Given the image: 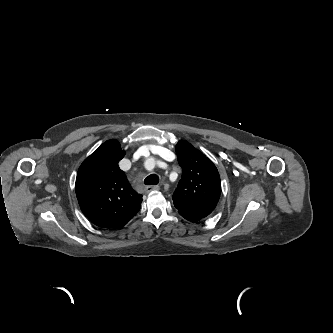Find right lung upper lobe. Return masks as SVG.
Masks as SVG:
<instances>
[{
	"label": "right lung upper lobe",
	"mask_w": 333,
	"mask_h": 333,
	"mask_svg": "<svg viewBox=\"0 0 333 333\" xmlns=\"http://www.w3.org/2000/svg\"><path fill=\"white\" fill-rule=\"evenodd\" d=\"M124 155L117 140H108L78 170L75 191L80 208L99 227L122 228L140 210L142 195L118 166Z\"/></svg>",
	"instance_id": "right-lung-upper-lobe-1"
}]
</instances>
